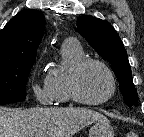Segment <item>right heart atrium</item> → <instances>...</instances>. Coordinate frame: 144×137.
<instances>
[{"label": "right heart atrium", "mask_w": 144, "mask_h": 137, "mask_svg": "<svg viewBox=\"0 0 144 137\" xmlns=\"http://www.w3.org/2000/svg\"><path fill=\"white\" fill-rule=\"evenodd\" d=\"M31 90L35 99L43 105H49L54 102V96L48 83L47 76L41 81L33 79L31 81Z\"/></svg>", "instance_id": "d8ad5b80"}]
</instances>
